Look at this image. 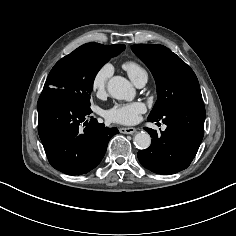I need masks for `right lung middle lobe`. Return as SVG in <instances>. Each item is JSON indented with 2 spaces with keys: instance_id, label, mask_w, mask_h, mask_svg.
Segmentation results:
<instances>
[{
  "instance_id": "obj_1",
  "label": "right lung middle lobe",
  "mask_w": 236,
  "mask_h": 236,
  "mask_svg": "<svg viewBox=\"0 0 236 236\" xmlns=\"http://www.w3.org/2000/svg\"><path fill=\"white\" fill-rule=\"evenodd\" d=\"M116 55L118 53L102 47H79L55 64L43 90L54 88L69 92L83 106L90 107L95 76Z\"/></svg>"
}]
</instances>
